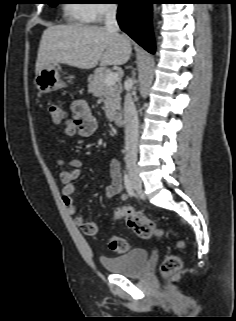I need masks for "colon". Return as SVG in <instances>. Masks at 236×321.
<instances>
[{
	"label": "colon",
	"instance_id": "1",
	"mask_svg": "<svg viewBox=\"0 0 236 321\" xmlns=\"http://www.w3.org/2000/svg\"><path fill=\"white\" fill-rule=\"evenodd\" d=\"M47 110L54 123H59L64 117L63 109L60 105L50 102ZM116 218H124L127 226L135 233L138 238L151 239L163 234V230L157 227L155 222L144 214L135 211L130 207H124L116 211ZM109 248L117 253H125L129 250V242L119 236H111L108 241ZM182 246V244H179ZM182 269V262L179 256H168L161 265V273L165 278L176 276Z\"/></svg>",
	"mask_w": 236,
	"mask_h": 321
}]
</instances>
